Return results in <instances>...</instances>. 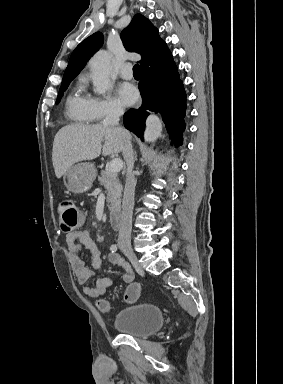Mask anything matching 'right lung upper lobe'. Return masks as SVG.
I'll return each instance as SVG.
<instances>
[{
	"label": "right lung upper lobe",
	"instance_id": "right-lung-upper-lobe-1",
	"mask_svg": "<svg viewBox=\"0 0 283 384\" xmlns=\"http://www.w3.org/2000/svg\"><path fill=\"white\" fill-rule=\"evenodd\" d=\"M126 50L141 54V75L164 69L173 62L166 43L158 30L141 14H136L129 26L121 33ZM103 34L96 32L82 41L73 51L64 72L62 83L71 82L84 68L89 58L101 47Z\"/></svg>",
	"mask_w": 283,
	"mask_h": 384
}]
</instances>
